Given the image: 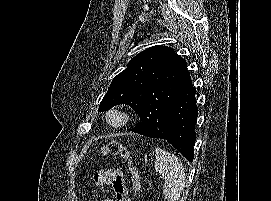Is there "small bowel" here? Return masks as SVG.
Segmentation results:
<instances>
[{"label":"small bowel","mask_w":271,"mask_h":201,"mask_svg":"<svg viewBox=\"0 0 271 201\" xmlns=\"http://www.w3.org/2000/svg\"><path fill=\"white\" fill-rule=\"evenodd\" d=\"M94 183L97 187L110 186L113 197L105 201H129L127 186L122 172L116 168L101 169L94 174Z\"/></svg>","instance_id":"c3829d8e"}]
</instances>
